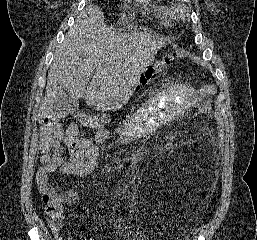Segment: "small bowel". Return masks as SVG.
Returning <instances> with one entry per match:
<instances>
[{"mask_svg":"<svg viewBox=\"0 0 257 240\" xmlns=\"http://www.w3.org/2000/svg\"><path fill=\"white\" fill-rule=\"evenodd\" d=\"M110 136V132L103 126H98L94 139L83 137L78 129L71 125L66 128H47L40 140V163L37 172V183L42 195L56 196L61 203L76 204L80 197L74 189H67L57 193L50 183L52 175H68L85 177L91 175L97 165L100 147ZM49 217V216H48ZM117 235L126 240H137V232L125 219L109 221ZM49 227L56 240H63L61 226L49 218ZM67 240H74L68 238ZM88 240H95L89 238Z\"/></svg>","mask_w":257,"mask_h":240,"instance_id":"obj_1","label":"small bowel"}]
</instances>
